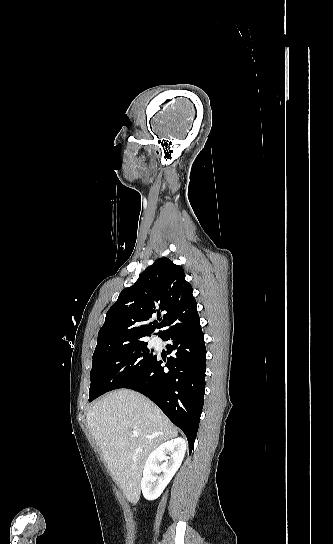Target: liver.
I'll return each instance as SVG.
<instances>
[{
	"instance_id": "obj_1",
	"label": "liver",
	"mask_w": 333,
	"mask_h": 544,
	"mask_svg": "<svg viewBox=\"0 0 333 544\" xmlns=\"http://www.w3.org/2000/svg\"><path fill=\"white\" fill-rule=\"evenodd\" d=\"M87 423L113 479L127 500L136 503L147 457L159 444L175 438L177 429L155 404L127 389L98 400L87 412ZM133 431L139 435L133 436Z\"/></svg>"
}]
</instances>
